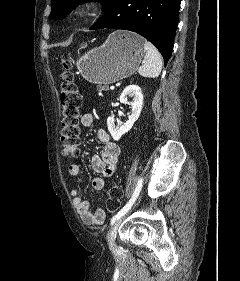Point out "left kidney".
I'll list each match as a JSON object with an SVG mask.
<instances>
[{
    "mask_svg": "<svg viewBox=\"0 0 240 281\" xmlns=\"http://www.w3.org/2000/svg\"><path fill=\"white\" fill-rule=\"evenodd\" d=\"M127 96L134 97L133 101L130 103L132 110L127 122L124 123V125L116 126L113 117H108L107 119L108 130L115 141H118L122 135L130 131L133 124L138 120L142 110L143 95L141 88L138 85L127 86L120 95V102L123 104H129L127 102Z\"/></svg>",
    "mask_w": 240,
    "mask_h": 281,
    "instance_id": "left-kidney-1",
    "label": "left kidney"
}]
</instances>
